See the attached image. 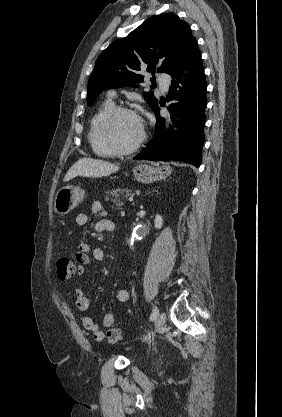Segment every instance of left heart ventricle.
Segmentation results:
<instances>
[{"label":"left heart ventricle","instance_id":"b2bd125f","mask_svg":"<svg viewBox=\"0 0 282 417\" xmlns=\"http://www.w3.org/2000/svg\"><path fill=\"white\" fill-rule=\"evenodd\" d=\"M102 122L99 125L101 132ZM141 135L140 120L132 115H121L117 117L111 128V137L117 145H130Z\"/></svg>","mask_w":282,"mask_h":417}]
</instances>
